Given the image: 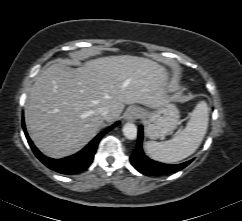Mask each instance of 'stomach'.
I'll return each mask as SVG.
<instances>
[{
	"label": "stomach",
	"mask_w": 242,
	"mask_h": 221,
	"mask_svg": "<svg viewBox=\"0 0 242 221\" xmlns=\"http://www.w3.org/2000/svg\"><path fill=\"white\" fill-rule=\"evenodd\" d=\"M180 112L173 104H165L154 112H143L146 135L150 139L162 138L172 133L179 124Z\"/></svg>",
	"instance_id": "obj_1"
}]
</instances>
